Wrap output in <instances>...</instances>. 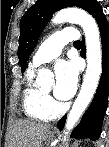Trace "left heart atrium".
Returning <instances> with one entry per match:
<instances>
[{
	"label": "left heart atrium",
	"mask_w": 109,
	"mask_h": 147,
	"mask_svg": "<svg viewBox=\"0 0 109 147\" xmlns=\"http://www.w3.org/2000/svg\"><path fill=\"white\" fill-rule=\"evenodd\" d=\"M55 86L53 93L60 100L70 99L78 83V67L74 60H61L55 66Z\"/></svg>",
	"instance_id": "39dd6f15"
}]
</instances>
